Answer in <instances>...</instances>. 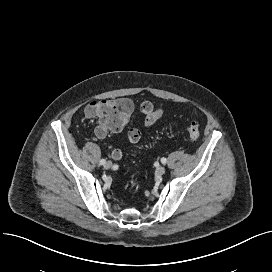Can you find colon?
Segmentation results:
<instances>
[{"instance_id":"colon-1","label":"colon","mask_w":272,"mask_h":272,"mask_svg":"<svg viewBox=\"0 0 272 272\" xmlns=\"http://www.w3.org/2000/svg\"><path fill=\"white\" fill-rule=\"evenodd\" d=\"M97 118L98 126L96 131L100 137H103L109 130L118 131L126 123L125 118L118 110L115 107L108 105L99 110ZM187 133L190 141L195 142L200 135L198 125L194 122L190 123L187 126ZM128 134L133 139L141 137V131L138 128H131Z\"/></svg>"}]
</instances>
